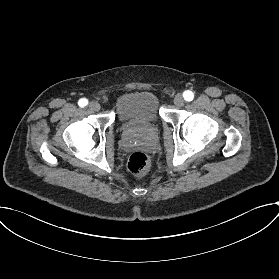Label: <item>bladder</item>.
Instances as JSON below:
<instances>
[{
	"mask_svg": "<svg viewBox=\"0 0 279 279\" xmlns=\"http://www.w3.org/2000/svg\"><path fill=\"white\" fill-rule=\"evenodd\" d=\"M116 117L121 127L131 124L129 131L146 130L145 124L159 125L161 112L157 97L151 91L134 92L124 96L116 107Z\"/></svg>",
	"mask_w": 279,
	"mask_h": 279,
	"instance_id": "obj_1",
	"label": "bladder"
}]
</instances>
